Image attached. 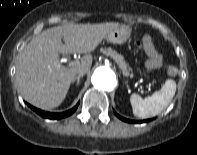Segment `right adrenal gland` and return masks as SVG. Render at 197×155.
<instances>
[{"label":"right adrenal gland","mask_w":197,"mask_h":155,"mask_svg":"<svg viewBox=\"0 0 197 155\" xmlns=\"http://www.w3.org/2000/svg\"><path fill=\"white\" fill-rule=\"evenodd\" d=\"M83 76H77L73 81L72 84H74L76 82V85L79 86L80 85V78Z\"/></svg>","instance_id":"obj_1"}]
</instances>
